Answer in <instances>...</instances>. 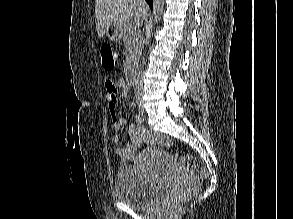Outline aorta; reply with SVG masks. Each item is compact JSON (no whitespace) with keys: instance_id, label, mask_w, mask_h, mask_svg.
<instances>
[{"instance_id":"aorta-1","label":"aorta","mask_w":293,"mask_h":219,"mask_svg":"<svg viewBox=\"0 0 293 219\" xmlns=\"http://www.w3.org/2000/svg\"><path fill=\"white\" fill-rule=\"evenodd\" d=\"M164 11V0H153V17L152 21L154 24L158 23L161 20V16ZM145 62L143 57L142 63Z\"/></svg>"}]
</instances>
